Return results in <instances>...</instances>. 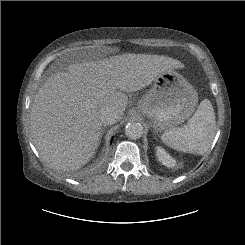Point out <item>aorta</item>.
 I'll return each mask as SVG.
<instances>
[{
    "label": "aorta",
    "instance_id": "762f6f07",
    "mask_svg": "<svg viewBox=\"0 0 245 245\" xmlns=\"http://www.w3.org/2000/svg\"><path fill=\"white\" fill-rule=\"evenodd\" d=\"M125 134L130 139H139L143 135V126L138 122H130L125 127Z\"/></svg>",
    "mask_w": 245,
    "mask_h": 245
}]
</instances>
